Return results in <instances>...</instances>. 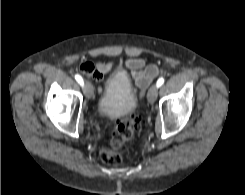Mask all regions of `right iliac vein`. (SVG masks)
<instances>
[{
    "label": "right iliac vein",
    "mask_w": 245,
    "mask_h": 195,
    "mask_svg": "<svg viewBox=\"0 0 245 195\" xmlns=\"http://www.w3.org/2000/svg\"><path fill=\"white\" fill-rule=\"evenodd\" d=\"M84 90L87 98L91 99L93 97V86L89 82H85Z\"/></svg>",
    "instance_id": "63e3f726"
}]
</instances>
